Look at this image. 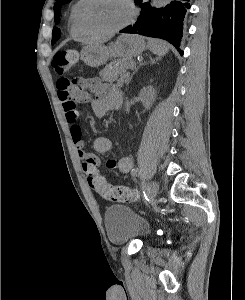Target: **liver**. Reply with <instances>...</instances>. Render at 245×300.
Returning <instances> with one entry per match:
<instances>
[{
  "label": "liver",
  "instance_id": "6515ba94",
  "mask_svg": "<svg viewBox=\"0 0 245 300\" xmlns=\"http://www.w3.org/2000/svg\"><path fill=\"white\" fill-rule=\"evenodd\" d=\"M103 41H96V40H89L87 43L89 45H97V44H100L102 43Z\"/></svg>",
  "mask_w": 245,
  "mask_h": 300
}]
</instances>
